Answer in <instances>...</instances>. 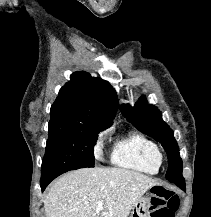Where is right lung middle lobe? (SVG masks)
<instances>
[{
  "label": "right lung middle lobe",
  "mask_w": 211,
  "mask_h": 217,
  "mask_svg": "<svg viewBox=\"0 0 211 217\" xmlns=\"http://www.w3.org/2000/svg\"><path fill=\"white\" fill-rule=\"evenodd\" d=\"M106 126L71 121H50L41 177L61 171L94 167V144Z\"/></svg>",
  "instance_id": "obj_1"
}]
</instances>
